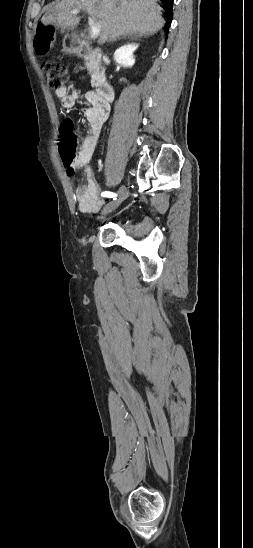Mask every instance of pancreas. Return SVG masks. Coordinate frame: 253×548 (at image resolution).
<instances>
[{
    "label": "pancreas",
    "mask_w": 253,
    "mask_h": 548,
    "mask_svg": "<svg viewBox=\"0 0 253 548\" xmlns=\"http://www.w3.org/2000/svg\"><path fill=\"white\" fill-rule=\"evenodd\" d=\"M89 73L91 74V85L96 87L98 85L99 78L101 77V67L94 60L86 61L85 63Z\"/></svg>",
    "instance_id": "cf45deb5"
}]
</instances>
